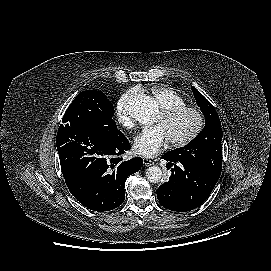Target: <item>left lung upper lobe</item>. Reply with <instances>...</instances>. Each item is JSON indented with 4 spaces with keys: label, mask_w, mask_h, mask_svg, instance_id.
Instances as JSON below:
<instances>
[{
    "label": "left lung upper lobe",
    "mask_w": 271,
    "mask_h": 271,
    "mask_svg": "<svg viewBox=\"0 0 271 271\" xmlns=\"http://www.w3.org/2000/svg\"><path fill=\"white\" fill-rule=\"evenodd\" d=\"M192 91L205 117V128L186 147L168 153L178 161L197 166L219 178L222 169L221 122L212 104L193 86Z\"/></svg>",
    "instance_id": "left-lung-upper-lobe-1"
}]
</instances>
